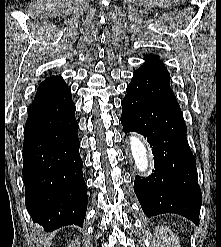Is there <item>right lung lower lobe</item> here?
Returning <instances> with one entry per match:
<instances>
[{
	"instance_id": "1",
	"label": "right lung lower lobe",
	"mask_w": 221,
	"mask_h": 247,
	"mask_svg": "<svg viewBox=\"0 0 221 247\" xmlns=\"http://www.w3.org/2000/svg\"><path fill=\"white\" fill-rule=\"evenodd\" d=\"M71 90L33 102L24 128L25 204L34 223L52 232L82 226L88 196Z\"/></svg>"
}]
</instances>
